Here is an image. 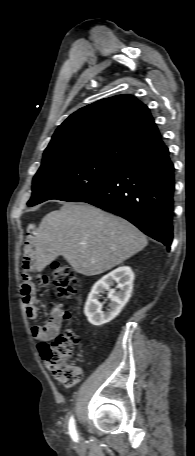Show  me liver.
I'll return each mask as SVG.
<instances>
[{
	"instance_id": "liver-1",
	"label": "liver",
	"mask_w": 195,
	"mask_h": 456,
	"mask_svg": "<svg viewBox=\"0 0 195 456\" xmlns=\"http://www.w3.org/2000/svg\"><path fill=\"white\" fill-rule=\"evenodd\" d=\"M147 245L134 225L88 204L66 203L43 217L36 236V269L59 255L82 275L104 273Z\"/></svg>"
}]
</instances>
